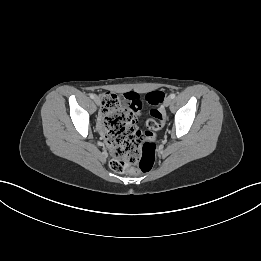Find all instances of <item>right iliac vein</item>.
<instances>
[{"label": "right iliac vein", "mask_w": 261, "mask_h": 261, "mask_svg": "<svg viewBox=\"0 0 261 261\" xmlns=\"http://www.w3.org/2000/svg\"><path fill=\"white\" fill-rule=\"evenodd\" d=\"M94 101H95V103H96L97 105H100V104H101V100H100L99 97H95V98H94Z\"/></svg>", "instance_id": "obj_1"}]
</instances>
